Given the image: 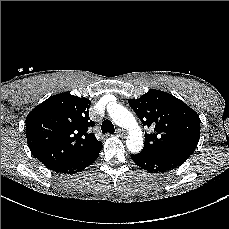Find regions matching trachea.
Instances as JSON below:
<instances>
[{
	"label": "trachea",
	"mask_w": 229,
	"mask_h": 229,
	"mask_svg": "<svg viewBox=\"0 0 229 229\" xmlns=\"http://www.w3.org/2000/svg\"><path fill=\"white\" fill-rule=\"evenodd\" d=\"M101 130H102L103 134H105V133H112L113 134L115 132L114 125L110 120H104L103 121L102 126H101Z\"/></svg>",
	"instance_id": "obj_1"
}]
</instances>
